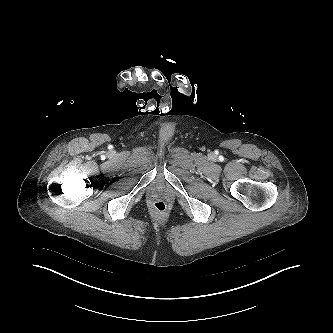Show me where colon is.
<instances>
[{
	"label": "colon",
	"mask_w": 333,
	"mask_h": 333,
	"mask_svg": "<svg viewBox=\"0 0 333 333\" xmlns=\"http://www.w3.org/2000/svg\"><path fill=\"white\" fill-rule=\"evenodd\" d=\"M152 207L158 214H164L168 209L166 202L161 199L155 200L152 204Z\"/></svg>",
	"instance_id": "1"
}]
</instances>
